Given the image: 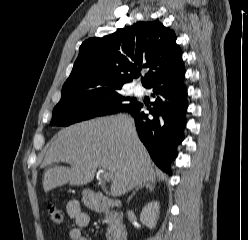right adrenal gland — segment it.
<instances>
[{
  "label": "right adrenal gland",
  "mask_w": 248,
  "mask_h": 240,
  "mask_svg": "<svg viewBox=\"0 0 248 240\" xmlns=\"http://www.w3.org/2000/svg\"><path fill=\"white\" fill-rule=\"evenodd\" d=\"M146 188L148 189L150 192H154V189H155V182L154 181H151V182H146V183H143L141 185H139L135 191H133V193L128 197V200L127 202L130 203V201L132 200V197L135 195V193L139 190V189H142V188Z\"/></svg>",
  "instance_id": "right-adrenal-gland-1"
}]
</instances>
